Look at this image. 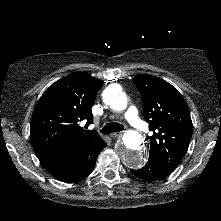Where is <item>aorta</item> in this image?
Returning a JSON list of instances; mask_svg holds the SVG:
<instances>
[{
  "label": "aorta",
  "mask_w": 221,
  "mask_h": 221,
  "mask_svg": "<svg viewBox=\"0 0 221 221\" xmlns=\"http://www.w3.org/2000/svg\"><path fill=\"white\" fill-rule=\"evenodd\" d=\"M103 100L114 110H124L128 104L127 98L122 93L119 85H111L106 88L103 93ZM116 153L119 159L129 168L138 169L142 167L146 160L142 134L136 130L126 131Z\"/></svg>",
  "instance_id": "obj_1"
}]
</instances>
